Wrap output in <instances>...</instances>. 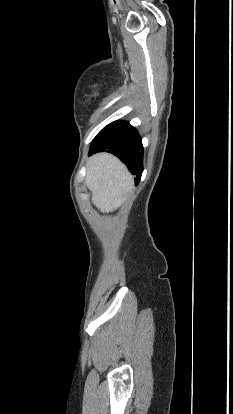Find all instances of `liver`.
I'll return each instance as SVG.
<instances>
[{
  "label": "liver",
  "mask_w": 233,
  "mask_h": 414,
  "mask_svg": "<svg viewBox=\"0 0 233 414\" xmlns=\"http://www.w3.org/2000/svg\"><path fill=\"white\" fill-rule=\"evenodd\" d=\"M85 183L92 192V203L102 213H109L126 201L134 178L117 157L97 153L87 161Z\"/></svg>",
  "instance_id": "liver-1"
}]
</instances>
